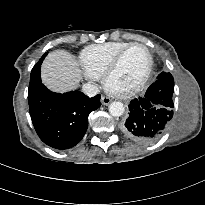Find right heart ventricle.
<instances>
[{
  "instance_id": "obj_1",
  "label": "right heart ventricle",
  "mask_w": 205,
  "mask_h": 205,
  "mask_svg": "<svg viewBox=\"0 0 205 205\" xmlns=\"http://www.w3.org/2000/svg\"><path fill=\"white\" fill-rule=\"evenodd\" d=\"M130 42H107L87 46L80 53V64L91 78H101L115 56Z\"/></svg>"
}]
</instances>
